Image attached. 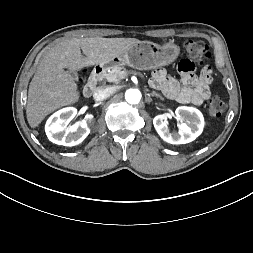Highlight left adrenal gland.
I'll return each instance as SVG.
<instances>
[{
    "label": "left adrenal gland",
    "mask_w": 253,
    "mask_h": 253,
    "mask_svg": "<svg viewBox=\"0 0 253 253\" xmlns=\"http://www.w3.org/2000/svg\"><path fill=\"white\" fill-rule=\"evenodd\" d=\"M150 96L157 97V98H160L161 100H163V98L158 93H156V92L150 93Z\"/></svg>",
    "instance_id": "left-adrenal-gland-1"
}]
</instances>
